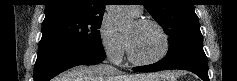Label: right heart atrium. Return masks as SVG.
Returning <instances> with one entry per match:
<instances>
[{"label": "right heart atrium", "mask_w": 237, "mask_h": 81, "mask_svg": "<svg viewBox=\"0 0 237 81\" xmlns=\"http://www.w3.org/2000/svg\"><path fill=\"white\" fill-rule=\"evenodd\" d=\"M99 35L105 54L114 62H121L126 50L125 39L108 18L102 20Z\"/></svg>", "instance_id": "obj_1"}]
</instances>
